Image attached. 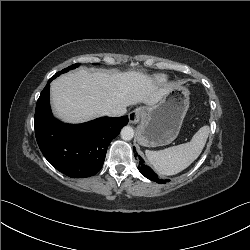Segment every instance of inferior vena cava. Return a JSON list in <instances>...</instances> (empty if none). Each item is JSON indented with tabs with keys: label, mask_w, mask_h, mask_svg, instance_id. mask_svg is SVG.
I'll list each match as a JSON object with an SVG mask.
<instances>
[{
	"label": "inferior vena cava",
	"mask_w": 250,
	"mask_h": 250,
	"mask_svg": "<svg viewBox=\"0 0 250 250\" xmlns=\"http://www.w3.org/2000/svg\"><path fill=\"white\" fill-rule=\"evenodd\" d=\"M106 115L110 117H119V116H122V113L118 110H112V111L106 112Z\"/></svg>",
	"instance_id": "602c4592"
}]
</instances>
